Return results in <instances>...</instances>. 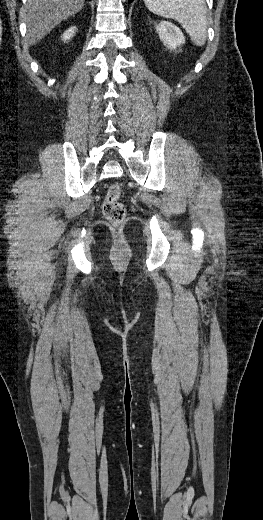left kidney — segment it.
<instances>
[{"instance_id":"5707ae66","label":"left kidney","mask_w":263,"mask_h":520,"mask_svg":"<svg viewBox=\"0 0 263 520\" xmlns=\"http://www.w3.org/2000/svg\"><path fill=\"white\" fill-rule=\"evenodd\" d=\"M160 40L168 49L174 50L185 42L183 33L168 21H162L156 28Z\"/></svg>"}]
</instances>
